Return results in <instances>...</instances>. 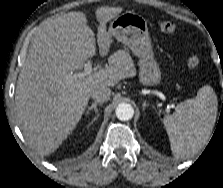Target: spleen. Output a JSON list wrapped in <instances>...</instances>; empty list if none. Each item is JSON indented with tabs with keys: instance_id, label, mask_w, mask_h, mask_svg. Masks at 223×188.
<instances>
[{
	"instance_id": "spleen-1",
	"label": "spleen",
	"mask_w": 223,
	"mask_h": 188,
	"mask_svg": "<svg viewBox=\"0 0 223 188\" xmlns=\"http://www.w3.org/2000/svg\"><path fill=\"white\" fill-rule=\"evenodd\" d=\"M217 108L216 94L210 86H204L195 98L179 103L175 113L163 118L174 155L189 156L208 137Z\"/></svg>"
}]
</instances>
